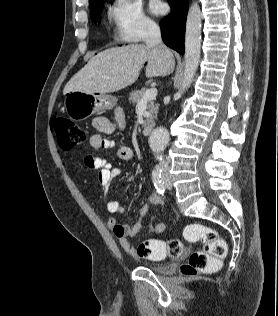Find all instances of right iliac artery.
Listing matches in <instances>:
<instances>
[{"instance_id":"obj_1","label":"right iliac artery","mask_w":278,"mask_h":316,"mask_svg":"<svg viewBox=\"0 0 278 316\" xmlns=\"http://www.w3.org/2000/svg\"><path fill=\"white\" fill-rule=\"evenodd\" d=\"M161 173H162V170L160 168H156L152 172V181L158 193L163 195L165 192V186H164V182L162 181Z\"/></svg>"}]
</instances>
